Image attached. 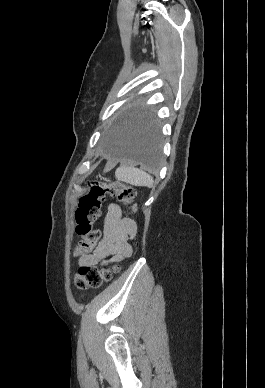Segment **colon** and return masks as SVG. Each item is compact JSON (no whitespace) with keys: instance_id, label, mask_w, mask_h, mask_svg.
<instances>
[{"instance_id":"5ec220e1","label":"colon","mask_w":265,"mask_h":388,"mask_svg":"<svg viewBox=\"0 0 265 388\" xmlns=\"http://www.w3.org/2000/svg\"><path fill=\"white\" fill-rule=\"evenodd\" d=\"M135 195L133 187L122 183L90 184L86 193L79 198L75 212V232L80 238L75 247V254L78 256L88 254L96 246L100 234L94 226L101 214V204L106 197H116L119 202L132 210ZM118 270L119 265L106 268L81 266L75 273L74 285L79 290L99 288L111 280Z\"/></svg>"}]
</instances>
